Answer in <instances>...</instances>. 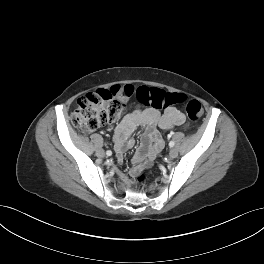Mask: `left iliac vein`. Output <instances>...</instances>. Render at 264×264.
Here are the masks:
<instances>
[{
    "label": "left iliac vein",
    "mask_w": 264,
    "mask_h": 264,
    "mask_svg": "<svg viewBox=\"0 0 264 264\" xmlns=\"http://www.w3.org/2000/svg\"><path fill=\"white\" fill-rule=\"evenodd\" d=\"M178 155V150L176 148H172L170 151H169V157L170 158H176Z\"/></svg>",
    "instance_id": "obj_1"
}]
</instances>
